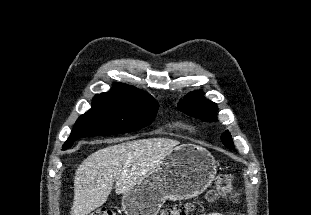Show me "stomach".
<instances>
[{
  "label": "stomach",
  "instance_id": "0dacf381",
  "mask_svg": "<svg viewBox=\"0 0 311 215\" xmlns=\"http://www.w3.org/2000/svg\"><path fill=\"white\" fill-rule=\"evenodd\" d=\"M217 162L204 147H175L146 178L122 196L126 215H157L166 200L199 196L213 181Z\"/></svg>",
  "mask_w": 311,
  "mask_h": 215
}]
</instances>
